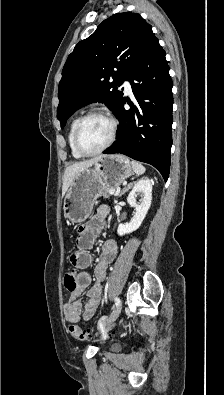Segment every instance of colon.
Segmentation results:
<instances>
[{
  "mask_svg": "<svg viewBox=\"0 0 224 395\" xmlns=\"http://www.w3.org/2000/svg\"><path fill=\"white\" fill-rule=\"evenodd\" d=\"M64 285L68 291H74L77 286L75 274L73 271L67 272L64 277ZM70 334L77 340L85 341L92 338V332L89 330L83 329L81 326L77 324H71L69 326Z\"/></svg>",
  "mask_w": 224,
  "mask_h": 395,
  "instance_id": "colon-1",
  "label": "colon"
}]
</instances>
